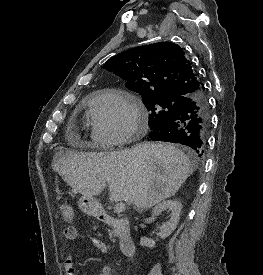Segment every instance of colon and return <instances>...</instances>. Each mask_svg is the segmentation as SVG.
<instances>
[{
  "label": "colon",
  "instance_id": "5ec220e1",
  "mask_svg": "<svg viewBox=\"0 0 263 275\" xmlns=\"http://www.w3.org/2000/svg\"><path fill=\"white\" fill-rule=\"evenodd\" d=\"M60 214L65 222H72L74 220V209L68 204L60 207Z\"/></svg>",
  "mask_w": 263,
  "mask_h": 275
}]
</instances>
